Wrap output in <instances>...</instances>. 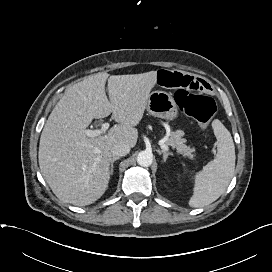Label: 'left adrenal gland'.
I'll list each match as a JSON object with an SVG mask.
<instances>
[{"label": "left adrenal gland", "mask_w": 272, "mask_h": 272, "mask_svg": "<svg viewBox=\"0 0 272 272\" xmlns=\"http://www.w3.org/2000/svg\"><path fill=\"white\" fill-rule=\"evenodd\" d=\"M159 154H163V161L166 162L168 156H172L173 154L171 152H166L164 150H158Z\"/></svg>", "instance_id": "obj_1"}]
</instances>
